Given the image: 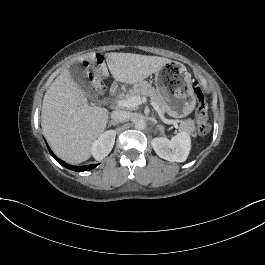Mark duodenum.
I'll use <instances>...</instances> for the list:
<instances>
[{"label":"duodenum","instance_id":"1","mask_svg":"<svg viewBox=\"0 0 265 265\" xmlns=\"http://www.w3.org/2000/svg\"><path fill=\"white\" fill-rule=\"evenodd\" d=\"M116 89H117V86L114 85V86L112 87V89H111V93L114 94V93L116 92Z\"/></svg>","mask_w":265,"mask_h":265}]
</instances>
